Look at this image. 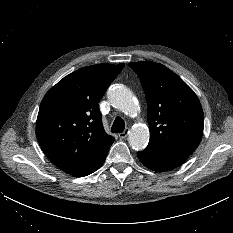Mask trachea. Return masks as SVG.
<instances>
[{
  "mask_svg": "<svg viewBox=\"0 0 233 233\" xmlns=\"http://www.w3.org/2000/svg\"><path fill=\"white\" fill-rule=\"evenodd\" d=\"M125 129L124 120L120 117H117L112 125L111 131L114 133L123 132Z\"/></svg>",
  "mask_w": 233,
  "mask_h": 233,
  "instance_id": "3493384b",
  "label": "trachea"
}]
</instances>
